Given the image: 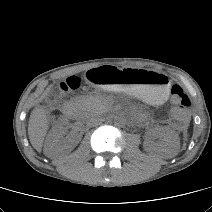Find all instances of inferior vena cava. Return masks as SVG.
<instances>
[{"mask_svg": "<svg viewBox=\"0 0 212 212\" xmlns=\"http://www.w3.org/2000/svg\"><path fill=\"white\" fill-rule=\"evenodd\" d=\"M103 121H104V119L99 116H91L87 119V124L89 126H97L100 123H102Z\"/></svg>", "mask_w": 212, "mask_h": 212, "instance_id": "inferior-vena-cava-1", "label": "inferior vena cava"}]
</instances>
